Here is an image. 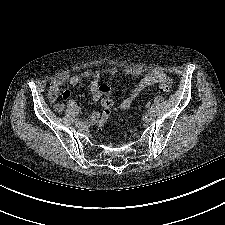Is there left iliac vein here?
I'll list each match as a JSON object with an SVG mask.
<instances>
[{
	"label": "left iliac vein",
	"mask_w": 225,
	"mask_h": 225,
	"mask_svg": "<svg viewBox=\"0 0 225 225\" xmlns=\"http://www.w3.org/2000/svg\"><path fill=\"white\" fill-rule=\"evenodd\" d=\"M147 117H148V119H153L154 117H155V111L154 110H152V109H150L149 111H148V113H147Z\"/></svg>",
	"instance_id": "4c4485c4"
}]
</instances>
